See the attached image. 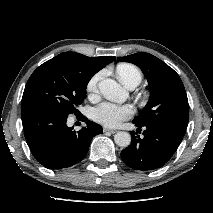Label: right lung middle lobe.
Instances as JSON below:
<instances>
[{
    "label": "right lung middle lobe",
    "mask_w": 213,
    "mask_h": 213,
    "mask_svg": "<svg viewBox=\"0 0 213 213\" xmlns=\"http://www.w3.org/2000/svg\"><path fill=\"white\" fill-rule=\"evenodd\" d=\"M92 73L84 65L56 56L40 65L25 86L22 104L36 102L64 116L74 113L86 97Z\"/></svg>",
    "instance_id": "right-lung-middle-lobe-1"
}]
</instances>
